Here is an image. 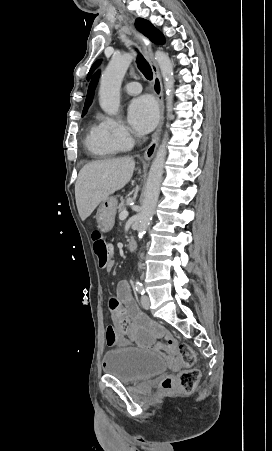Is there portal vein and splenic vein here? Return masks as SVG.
<instances>
[{
    "label": "portal vein and splenic vein",
    "instance_id": "18ae733b",
    "mask_svg": "<svg viewBox=\"0 0 272 451\" xmlns=\"http://www.w3.org/2000/svg\"><path fill=\"white\" fill-rule=\"evenodd\" d=\"M128 216V212L127 210H124V212H121V214H119V220H126Z\"/></svg>",
    "mask_w": 272,
    "mask_h": 451
}]
</instances>
